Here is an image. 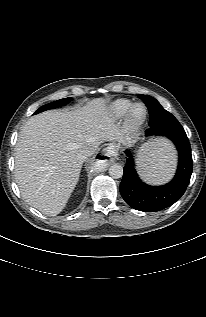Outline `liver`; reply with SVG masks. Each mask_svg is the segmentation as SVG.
I'll use <instances>...</instances> for the list:
<instances>
[{
    "instance_id": "1",
    "label": "liver",
    "mask_w": 206,
    "mask_h": 317,
    "mask_svg": "<svg viewBox=\"0 0 206 317\" xmlns=\"http://www.w3.org/2000/svg\"><path fill=\"white\" fill-rule=\"evenodd\" d=\"M106 103L98 98L74 111H46L24 124L16 144L15 179L29 205L46 215L59 214L79 180L83 162L77 153L122 140Z\"/></svg>"
}]
</instances>
